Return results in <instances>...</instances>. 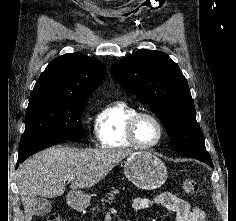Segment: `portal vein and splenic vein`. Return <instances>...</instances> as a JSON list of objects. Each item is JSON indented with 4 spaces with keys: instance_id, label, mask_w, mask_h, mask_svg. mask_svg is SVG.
Returning a JSON list of instances; mask_svg holds the SVG:
<instances>
[{
    "instance_id": "portal-vein-and-splenic-vein-1",
    "label": "portal vein and splenic vein",
    "mask_w": 236,
    "mask_h": 221,
    "mask_svg": "<svg viewBox=\"0 0 236 221\" xmlns=\"http://www.w3.org/2000/svg\"><path fill=\"white\" fill-rule=\"evenodd\" d=\"M65 180H68L70 182V181H73L74 178L73 177H69V178H66Z\"/></svg>"
}]
</instances>
